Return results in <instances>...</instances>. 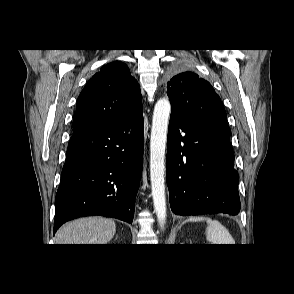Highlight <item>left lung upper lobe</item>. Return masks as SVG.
I'll return each mask as SVG.
<instances>
[{
  "instance_id": "1",
  "label": "left lung upper lobe",
  "mask_w": 294,
  "mask_h": 294,
  "mask_svg": "<svg viewBox=\"0 0 294 294\" xmlns=\"http://www.w3.org/2000/svg\"><path fill=\"white\" fill-rule=\"evenodd\" d=\"M171 113L197 124L227 125L220 97L211 84L191 71L175 75L167 83Z\"/></svg>"
}]
</instances>
